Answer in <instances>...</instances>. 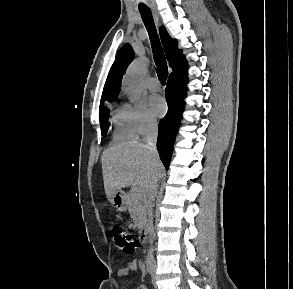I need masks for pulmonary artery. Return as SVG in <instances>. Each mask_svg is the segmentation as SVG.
Returning <instances> with one entry per match:
<instances>
[{
	"label": "pulmonary artery",
	"mask_w": 293,
	"mask_h": 289,
	"mask_svg": "<svg viewBox=\"0 0 293 289\" xmlns=\"http://www.w3.org/2000/svg\"><path fill=\"white\" fill-rule=\"evenodd\" d=\"M147 87L151 91H158L160 90L161 84L157 78H150L147 82Z\"/></svg>",
	"instance_id": "obj_1"
}]
</instances>
